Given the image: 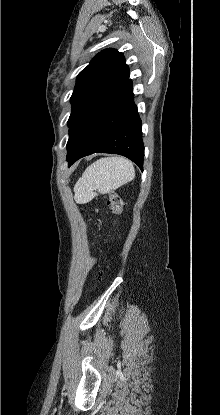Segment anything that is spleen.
I'll return each instance as SVG.
<instances>
[{"label":"spleen","instance_id":"spleen-1","mask_svg":"<svg viewBox=\"0 0 220 415\" xmlns=\"http://www.w3.org/2000/svg\"><path fill=\"white\" fill-rule=\"evenodd\" d=\"M135 177L131 161L124 157H106L92 163L74 186L75 201L87 203L97 194L110 193Z\"/></svg>","mask_w":220,"mask_h":415}]
</instances>
